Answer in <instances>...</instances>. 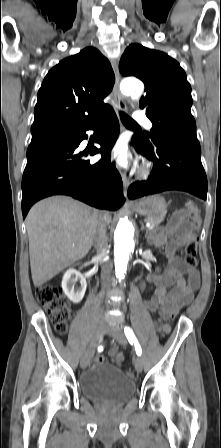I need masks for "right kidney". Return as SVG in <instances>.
Masks as SVG:
<instances>
[{
	"label": "right kidney",
	"instance_id": "obj_1",
	"mask_svg": "<svg viewBox=\"0 0 221 448\" xmlns=\"http://www.w3.org/2000/svg\"><path fill=\"white\" fill-rule=\"evenodd\" d=\"M77 282H80L79 287H75ZM86 287V279L79 271L70 268L64 273L62 290L71 302L75 304L79 303L84 297Z\"/></svg>",
	"mask_w": 221,
	"mask_h": 448
}]
</instances>
